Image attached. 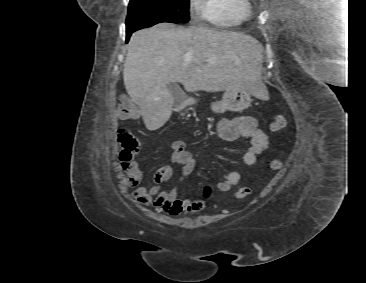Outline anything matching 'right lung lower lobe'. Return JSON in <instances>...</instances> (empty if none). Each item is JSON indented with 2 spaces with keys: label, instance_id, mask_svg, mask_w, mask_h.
Masks as SVG:
<instances>
[{
  "label": "right lung lower lobe",
  "instance_id": "98d812e1",
  "mask_svg": "<svg viewBox=\"0 0 366 283\" xmlns=\"http://www.w3.org/2000/svg\"><path fill=\"white\" fill-rule=\"evenodd\" d=\"M134 31H131V30H128V31H126V42H128V40H129V37H130V35L133 33Z\"/></svg>",
  "mask_w": 366,
  "mask_h": 283
}]
</instances>
